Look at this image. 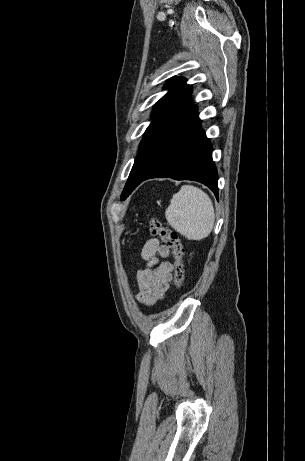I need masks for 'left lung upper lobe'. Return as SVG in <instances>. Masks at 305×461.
Returning <instances> with one entry per match:
<instances>
[{
	"label": "left lung upper lobe",
	"mask_w": 305,
	"mask_h": 461,
	"mask_svg": "<svg viewBox=\"0 0 305 461\" xmlns=\"http://www.w3.org/2000/svg\"><path fill=\"white\" fill-rule=\"evenodd\" d=\"M169 92L155 105L152 111L154 121L146 129L144 138L139 145V151L130 172L127 183L121 195L124 200L134 190L137 181L145 175L152 159L151 143L158 129L176 112L192 92V87L186 84L183 77H172L166 82Z\"/></svg>",
	"instance_id": "left-lung-upper-lobe-1"
}]
</instances>
